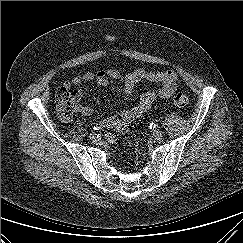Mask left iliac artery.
<instances>
[{
	"label": "left iliac artery",
	"instance_id": "obj_1",
	"mask_svg": "<svg viewBox=\"0 0 243 243\" xmlns=\"http://www.w3.org/2000/svg\"><path fill=\"white\" fill-rule=\"evenodd\" d=\"M156 127H157V125H156L155 123H151V124H150V128H151V129H154V128H156Z\"/></svg>",
	"mask_w": 243,
	"mask_h": 243
}]
</instances>
